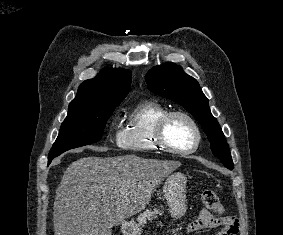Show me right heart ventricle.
<instances>
[{
	"label": "right heart ventricle",
	"mask_w": 283,
	"mask_h": 235,
	"mask_svg": "<svg viewBox=\"0 0 283 235\" xmlns=\"http://www.w3.org/2000/svg\"><path fill=\"white\" fill-rule=\"evenodd\" d=\"M169 109L160 102L146 100L140 102L127 116L117 136L123 149L134 152H153L160 147L156 143L154 131L159 119Z\"/></svg>",
	"instance_id": "e07e8e85"
}]
</instances>
